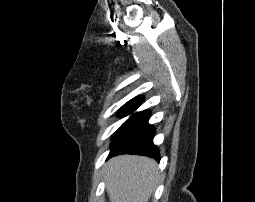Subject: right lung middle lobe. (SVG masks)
<instances>
[{
  "label": "right lung middle lobe",
  "instance_id": "1",
  "mask_svg": "<svg viewBox=\"0 0 255 202\" xmlns=\"http://www.w3.org/2000/svg\"><path fill=\"white\" fill-rule=\"evenodd\" d=\"M129 114V113H127ZM127 114H119L120 117H124ZM135 115L131 116L130 119H128L125 123L122 124V126L114 133L113 139L118 135V133L122 130V128L134 117Z\"/></svg>",
  "mask_w": 255,
  "mask_h": 202
}]
</instances>
